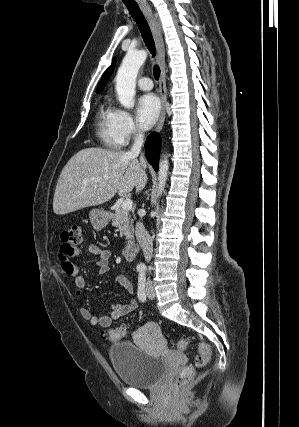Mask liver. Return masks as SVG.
Segmentation results:
<instances>
[{"instance_id": "6515ba94", "label": "liver", "mask_w": 299, "mask_h": 427, "mask_svg": "<svg viewBox=\"0 0 299 427\" xmlns=\"http://www.w3.org/2000/svg\"><path fill=\"white\" fill-rule=\"evenodd\" d=\"M146 181L137 155L85 148L76 153L63 168L54 193L53 211L57 215H64L106 203L116 193L124 196L134 188L139 193Z\"/></svg>"}]
</instances>
